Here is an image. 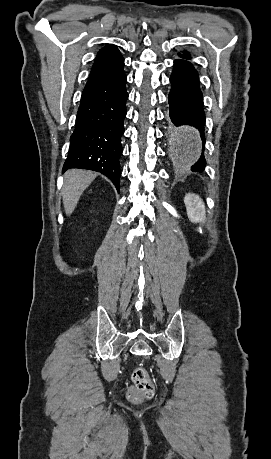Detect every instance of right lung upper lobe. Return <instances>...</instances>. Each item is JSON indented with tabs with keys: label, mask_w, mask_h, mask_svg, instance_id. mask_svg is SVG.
<instances>
[{
	"label": "right lung upper lobe",
	"mask_w": 271,
	"mask_h": 459,
	"mask_svg": "<svg viewBox=\"0 0 271 459\" xmlns=\"http://www.w3.org/2000/svg\"><path fill=\"white\" fill-rule=\"evenodd\" d=\"M123 66L124 59L118 48L115 45L108 44L97 54L87 84L122 72Z\"/></svg>",
	"instance_id": "1"
}]
</instances>
